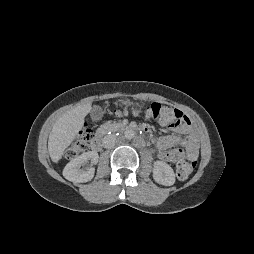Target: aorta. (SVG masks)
Wrapping results in <instances>:
<instances>
[{"mask_svg":"<svg viewBox=\"0 0 254 254\" xmlns=\"http://www.w3.org/2000/svg\"><path fill=\"white\" fill-rule=\"evenodd\" d=\"M135 136V132L133 130H127L124 133V137L126 139H132Z\"/></svg>","mask_w":254,"mask_h":254,"instance_id":"1","label":"aorta"}]
</instances>
